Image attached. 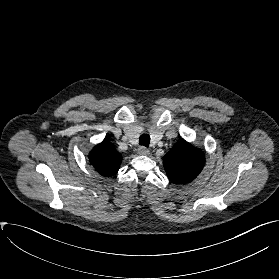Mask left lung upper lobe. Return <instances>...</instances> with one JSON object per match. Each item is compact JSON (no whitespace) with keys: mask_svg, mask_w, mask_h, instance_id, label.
Here are the masks:
<instances>
[{"mask_svg":"<svg viewBox=\"0 0 279 279\" xmlns=\"http://www.w3.org/2000/svg\"><path fill=\"white\" fill-rule=\"evenodd\" d=\"M204 162L202 151L186 141L176 143L163 159L168 178L174 183L194 180L201 172Z\"/></svg>","mask_w":279,"mask_h":279,"instance_id":"5c2ea615","label":"left lung upper lobe"}]
</instances>
